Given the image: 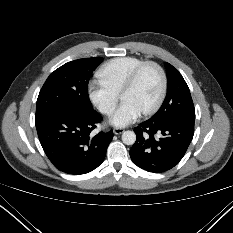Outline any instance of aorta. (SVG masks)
<instances>
[{"label":"aorta","mask_w":233,"mask_h":233,"mask_svg":"<svg viewBox=\"0 0 233 233\" xmlns=\"http://www.w3.org/2000/svg\"><path fill=\"white\" fill-rule=\"evenodd\" d=\"M122 141L126 145H133L136 141V134L133 131H124L122 134Z\"/></svg>","instance_id":"1"}]
</instances>
